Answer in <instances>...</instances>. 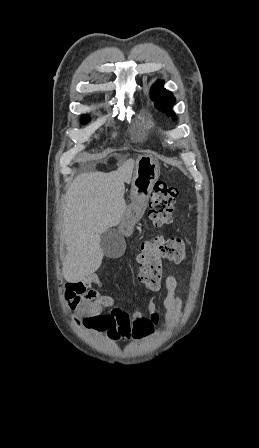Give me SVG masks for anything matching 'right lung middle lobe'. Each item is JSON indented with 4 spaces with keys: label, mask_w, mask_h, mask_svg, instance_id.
<instances>
[{
    "label": "right lung middle lobe",
    "mask_w": 259,
    "mask_h": 448,
    "mask_svg": "<svg viewBox=\"0 0 259 448\" xmlns=\"http://www.w3.org/2000/svg\"><path fill=\"white\" fill-rule=\"evenodd\" d=\"M88 121H89V117H87V116H84L83 119L81 120V122L83 124H86Z\"/></svg>",
    "instance_id": "1"
}]
</instances>
